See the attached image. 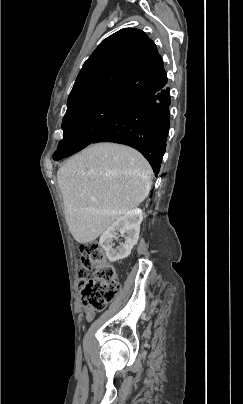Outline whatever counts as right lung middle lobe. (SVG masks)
<instances>
[{"instance_id":"right-lung-middle-lobe-1","label":"right lung middle lobe","mask_w":243,"mask_h":404,"mask_svg":"<svg viewBox=\"0 0 243 404\" xmlns=\"http://www.w3.org/2000/svg\"><path fill=\"white\" fill-rule=\"evenodd\" d=\"M126 101L97 100L67 111L62 121L64 137L59 142L53 159L61 160L90 145Z\"/></svg>"}]
</instances>
